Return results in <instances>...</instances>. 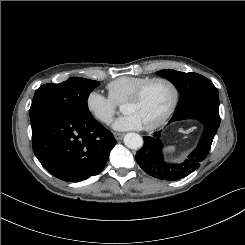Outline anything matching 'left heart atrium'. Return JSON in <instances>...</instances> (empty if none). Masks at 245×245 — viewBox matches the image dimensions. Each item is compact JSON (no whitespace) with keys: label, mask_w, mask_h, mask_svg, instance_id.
Instances as JSON below:
<instances>
[{"label":"left heart atrium","mask_w":245,"mask_h":245,"mask_svg":"<svg viewBox=\"0 0 245 245\" xmlns=\"http://www.w3.org/2000/svg\"><path fill=\"white\" fill-rule=\"evenodd\" d=\"M143 127L141 120L134 114H125L113 124V128L119 131L139 130Z\"/></svg>","instance_id":"obj_1"}]
</instances>
